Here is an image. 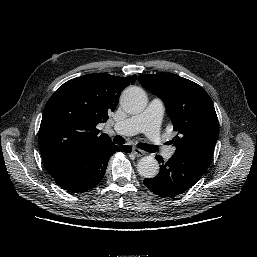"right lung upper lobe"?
Returning a JSON list of instances; mask_svg holds the SVG:
<instances>
[{
	"instance_id": "1",
	"label": "right lung upper lobe",
	"mask_w": 257,
	"mask_h": 257,
	"mask_svg": "<svg viewBox=\"0 0 257 257\" xmlns=\"http://www.w3.org/2000/svg\"><path fill=\"white\" fill-rule=\"evenodd\" d=\"M136 81L93 73L64 83L48 100L39 129L38 146L50 173L68 161L112 143L98 135L96 125L114 112L122 90Z\"/></svg>"
}]
</instances>
